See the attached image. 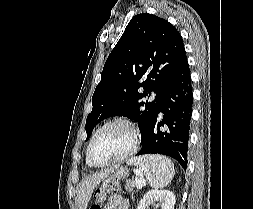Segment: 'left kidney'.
<instances>
[{"label": "left kidney", "instance_id": "1", "mask_svg": "<svg viewBox=\"0 0 253 209\" xmlns=\"http://www.w3.org/2000/svg\"><path fill=\"white\" fill-rule=\"evenodd\" d=\"M152 204L160 209H174L175 195L169 190H151L140 200L137 209H148Z\"/></svg>", "mask_w": 253, "mask_h": 209}]
</instances>
